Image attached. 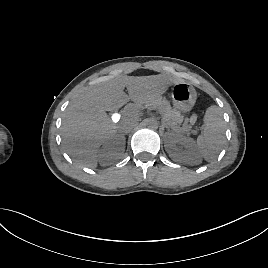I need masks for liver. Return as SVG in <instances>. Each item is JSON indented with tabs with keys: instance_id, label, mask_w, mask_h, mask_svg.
<instances>
[{
	"instance_id": "liver-1",
	"label": "liver",
	"mask_w": 268,
	"mask_h": 268,
	"mask_svg": "<svg viewBox=\"0 0 268 268\" xmlns=\"http://www.w3.org/2000/svg\"><path fill=\"white\" fill-rule=\"evenodd\" d=\"M171 76H116L81 90L65 110L62 139L67 153L82 166H97L99 147L115 136L118 126L107 111H114L130 100L147 104L161 96L174 83ZM127 88L128 94L124 92Z\"/></svg>"
}]
</instances>
